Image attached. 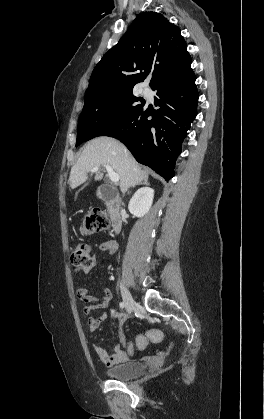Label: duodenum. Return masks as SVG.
Listing matches in <instances>:
<instances>
[{
	"label": "duodenum",
	"mask_w": 264,
	"mask_h": 419,
	"mask_svg": "<svg viewBox=\"0 0 264 419\" xmlns=\"http://www.w3.org/2000/svg\"><path fill=\"white\" fill-rule=\"evenodd\" d=\"M104 201L106 202L110 211L112 232L117 234L120 232L123 223V217L120 210L121 200L115 194H106L104 195Z\"/></svg>",
	"instance_id": "obj_1"
}]
</instances>
